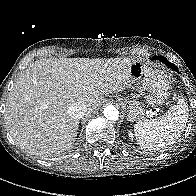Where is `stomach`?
<instances>
[{
  "label": "stomach",
  "instance_id": "stomach-1",
  "mask_svg": "<svg viewBox=\"0 0 196 196\" xmlns=\"http://www.w3.org/2000/svg\"><path fill=\"white\" fill-rule=\"evenodd\" d=\"M133 90L147 92L146 100L152 105L166 102L170 92V82L165 75L144 64L141 60L130 62V85ZM121 107L127 112L128 119L135 121L144 115V107L136 100L119 99Z\"/></svg>",
  "mask_w": 196,
  "mask_h": 196
}]
</instances>
